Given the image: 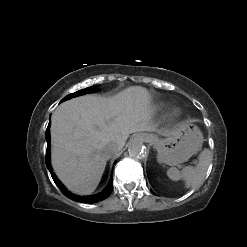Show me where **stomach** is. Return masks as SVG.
<instances>
[{
	"label": "stomach",
	"mask_w": 247,
	"mask_h": 247,
	"mask_svg": "<svg viewBox=\"0 0 247 247\" xmlns=\"http://www.w3.org/2000/svg\"><path fill=\"white\" fill-rule=\"evenodd\" d=\"M202 143L203 135L200 129L191 122L181 123L166 138H154L158 161L170 166L186 162L198 152Z\"/></svg>",
	"instance_id": "obj_1"
}]
</instances>
